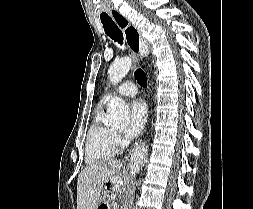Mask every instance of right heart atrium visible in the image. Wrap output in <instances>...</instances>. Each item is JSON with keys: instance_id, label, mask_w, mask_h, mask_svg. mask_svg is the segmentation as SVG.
I'll return each mask as SVG.
<instances>
[{"instance_id": "right-heart-atrium-1", "label": "right heart atrium", "mask_w": 253, "mask_h": 209, "mask_svg": "<svg viewBox=\"0 0 253 209\" xmlns=\"http://www.w3.org/2000/svg\"><path fill=\"white\" fill-rule=\"evenodd\" d=\"M116 140H117V143L121 141V137L117 134H116Z\"/></svg>"}]
</instances>
